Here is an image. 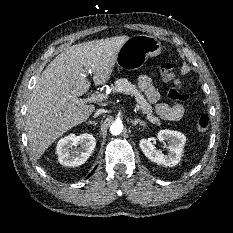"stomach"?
Returning a JSON list of instances; mask_svg holds the SVG:
<instances>
[{
	"mask_svg": "<svg viewBox=\"0 0 233 233\" xmlns=\"http://www.w3.org/2000/svg\"><path fill=\"white\" fill-rule=\"evenodd\" d=\"M161 53V43L153 36L134 35L122 45L116 63L120 69L131 70L138 68L149 57H155Z\"/></svg>",
	"mask_w": 233,
	"mask_h": 233,
	"instance_id": "obj_1",
	"label": "stomach"
}]
</instances>
